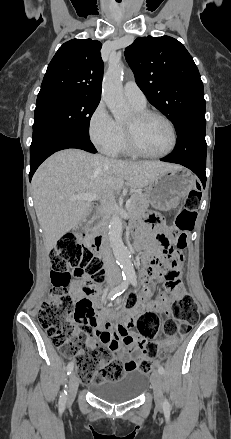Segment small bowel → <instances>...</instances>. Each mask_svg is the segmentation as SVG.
I'll return each instance as SVG.
<instances>
[{
	"label": "small bowel",
	"mask_w": 231,
	"mask_h": 439,
	"mask_svg": "<svg viewBox=\"0 0 231 439\" xmlns=\"http://www.w3.org/2000/svg\"><path fill=\"white\" fill-rule=\"evenodd\" d=\"M155 222L161 225L159 219L155 220ZM162 230L167 231L168 234L173 233V230L165 227H162ZM148 238L147 248L144 254V263L147 264L148 267V272L144 273V279L147 285L143 288L141 297L134 308L116 312L109 306L100 305L97 298V289L86 294L80 286L74 287V296L77 301L83 300L89 303V307L84 314L79 317L80 322L90 329L98 327V339L107 346L115 356L123 358L125 364L129 361L136 363V359H130L129 356L132 353L140 351L143 345V340L130 330L136 319L146 311H157L167 314L170 307V300L168 299L162 298L155 302L151 299L153 293L151 283L156 278V276L152 274L153 267L151 262L162 253L170 255L171 247L168 240L158 241L151 235H148ZM181 265L182 258L180 257L167 264V271L175 273V277L171 281L166 282L165 288L175 296H179L185 291L179 281ZM112 317H117L119 323L114 325L111 321ZM94 342L95 340L92 339L86 346ZM173 345L174 342L169 339L160 342L162 350L170 348ZM80 352L83 353L84 349H81Z\"/></svg>",
	"instance_id": "1"
}]
</instances>
